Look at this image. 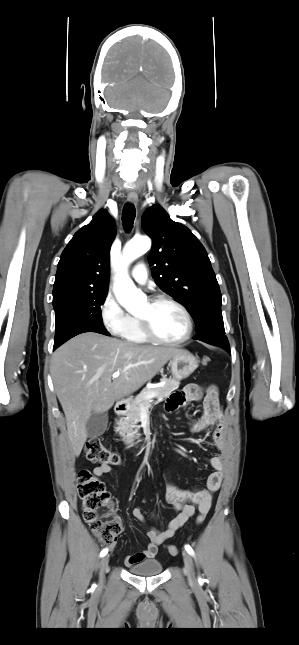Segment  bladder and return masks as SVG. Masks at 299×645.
<instances>
[{
	"label": "bladder",
	"mask_w": 299,
	"mask_h": 645,
	"mask_svg": "<svg viewBox=\"0 0 299 645\" xmlns=\"http://www.w3.org/2000/svg\"><path fill=\"white\" fill-rule=\"evenodd\" d=\"M162 564L157 559H149L129 567L132 574L139 576L157 575L162 571Z\"/></svg>",
	"instance_id": "obj_1"
}]
</instances>
